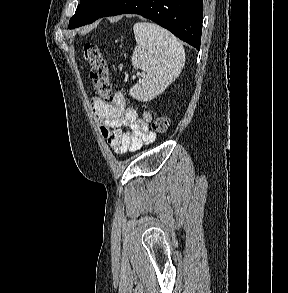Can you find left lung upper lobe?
Masks as SVG:
<instances>
[{"label": "left lung upper lobe", "mask_w": 288, "mask_h": 293, "mask_svg": "<svg viewBox=\"0 0 288 293\" xmlns=\"http://www.w3.org/2000/svg\"><path fill=\"white\" fill-rule=\"evenodd\" d=\"M116 0H80L74 16L70 19L69 29L80 27L94 22Z\"/></svg>", "instance_id": "1"}]
</instances>
